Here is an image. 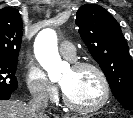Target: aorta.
<instances>
[{
    "mask_svg": "<svg viewBox=\"0 0 133 118\" xmlns=\"http://www.w3.org/2000/svg\"><path fill=\"white\" fill-rule=\"evenodd\" d=\"M35 56L50 80H58L69 65L62 61L57 48V35L52 29L42 30L34 44Z\"/></svg>",
    "mask_w": 133,
    "mask_h": 118,
    "instance_id": "obj_1",
    "label": "aorta"
}]
</instances>
